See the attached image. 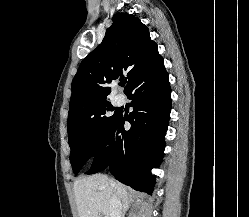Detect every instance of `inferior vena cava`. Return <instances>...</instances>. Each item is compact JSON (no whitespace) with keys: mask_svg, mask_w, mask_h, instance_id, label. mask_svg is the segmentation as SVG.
I'll return each instance as SVG.
<instances>
[{"mask_svg":"<svg viewBox=\"0 0 249 217\" xmlns=\"http://www.w3.org/2000/svg\"><path fill=\"white\" fill-rule=\"evenodd\" d=\"M110 217H122V204L115 194L110 199Z\"/></svg>","mask_w":249,"mask_h":217,"instance_id":"602c4592","label":"inferior vena cava"}]
</instances>
